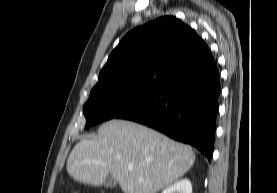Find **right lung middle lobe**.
<instances>
[{"label":"right lung middle lobe","instance_id":"right-lung-middle-lobe-1","mask_svg":"<svg viewBox=\"0 0 277 193\" xmlns=\"http://www.w3.org/2000/svg\"><path fill=\"white\" fill-rule=\"evenodd\" d=\"M156 90L148 87L125 86L92 91L83 108L87 120L86 128L112 118H118L146 100Z\"/></svg>","mask_w":277,"mask_h":193}]
</instances>
